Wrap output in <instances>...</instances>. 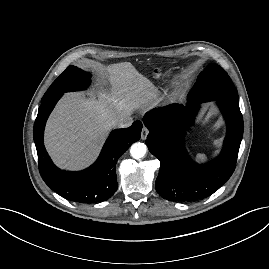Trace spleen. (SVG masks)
I'll use <instances>...</instances> for the list:
<instances>
[{
  "label": "spleen",
  "mask_w": 269,
  "mask_h": 269,
  "mask_svg": "<svg viewBox=\"0 0 269 269\" xmlns=\"http://www.w3.org/2000/svg\"><path fill=\"white\" fill-rule=\"evenodd\" d=\"M196 161L199 162V163H203V162H206L207 161V156L203 153H198L196 155Z\"/></svg>",
  "instance_id": "1"
}]
</instances>
